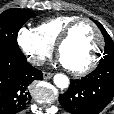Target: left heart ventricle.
<instances>
[{
    "instance_id": "1",
    "label": "left heart ventricle",
    "mask_w": 114,
    "mask_h": 114,
    "mask_svg": "<svg viewBox=\"0 0 114 114\" xmlns=\"http://www.w3.org/2000/svg\"><path fill=\"white\" fill-rule=\"evenodd\" d=\"M98 36L87 22L80 23L64 43L60 58L67 67L80 69L87 66L94 58L98 48Z\"/></svg>"
}]
</instances>
